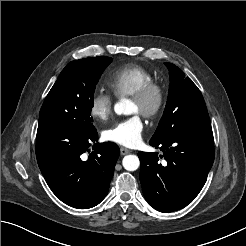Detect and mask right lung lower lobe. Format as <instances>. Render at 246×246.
I'll list each match as a JSON object with an SVG mask.
<instances>
[{
	"mask_svg": "<svg viewBox=\"0 0 246 246\" xmlns=\"http://www.w3.org/2000/svg\"><path fill=\"white\" fill-rule=\"evenodd\" d=\"M90 132L41 126L36 137L39 168L53 193L64 203L79 209L99 204L107 195L120 154L112 142L95 143ZM94 143L93 150L89 147ZM89 153L84 159V153Z\"/></svg>",
	"mask_w": 246,
	"mask_h": 246,
	"instance_id": "1",
	"label": "right lung lower lobe"
}]
</instances>
